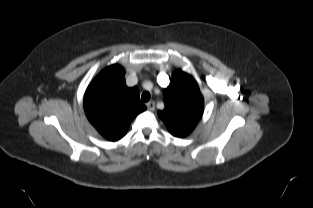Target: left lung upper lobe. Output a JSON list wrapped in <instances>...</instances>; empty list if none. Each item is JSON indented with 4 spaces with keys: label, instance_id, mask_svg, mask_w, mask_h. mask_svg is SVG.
Listing matches in <instances>:
<instances>
[{
    "label": "left lung upper lobe",
    "instance_id": "1",
    "mask_svg": "<svg viewBox=\"0 0 313 208\" xmlns=\"http://www.w3.org/2000/svg\"><path fill=\"white\" fill-rule=\"evenodd\" d=\"M165 108L158 111L169 132L176 137L189 135L204 111V100L192 76L180 69L164 89Z\"/></svg>",
    "mask_w": 313,
    "mask_h": 208
}]
</instances>
